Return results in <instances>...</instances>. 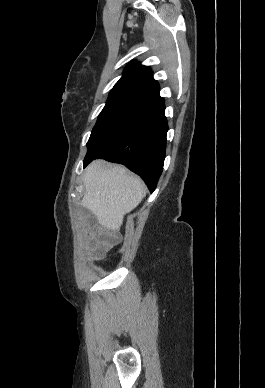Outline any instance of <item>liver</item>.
Here are the masks:
<instances>
[{"mask_svg": "<svg viewBox=\"0 0 265 388\" xmlns=\"http://www.w3.org/2000/svg\"><path fill=\"white\" fill-rule=\"evenodd\" d=\"M83 184L82 206L95 214L106 230L119 232L125 214L132 212L147 194V188L124 166H110L102 160L89 164Z\"/></svg>", "mask_w": 265, "mask_h": 388, "instance_id": "obj_1", "label": "liver"}]
</instances>
